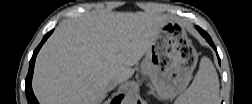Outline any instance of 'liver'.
<instances>
[{
	"mask_svg": "<svg viewBox=\"0 0 252 104\" xmlns=\"http://www.w3.org/2000/svg\"><path fill=\"white\" fill-rule=\"evenodd\" d=\"M167 20L154 13L112 12L61 23L37 56L35 96L43 104H100L111 79L132 77V66Z\"/></svg>",
	"mask_w": 252,
	"mask_h": 104,
	"instance_id": "liver-1",
	"label": "liver"
}]
</instances>
